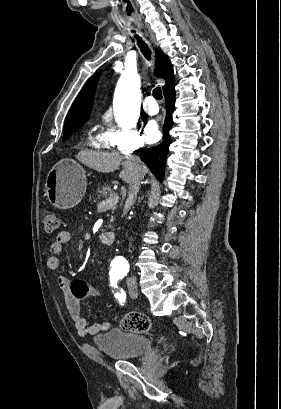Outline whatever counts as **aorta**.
<instances>
[{
	"instance_id": "1",
	"label": "aorta",
	"mask_w": 281,
	"mask_h": 409,
	"mask_svg": "<svg viewBox=\"0 0 281 409\" xmlns=\"http://www.w3.org/2000/svg\"><path fill=\"white\" fill-rule=\"evenodd\" d=\"M139 79L135 72H126L118 85L114 98V114L118 125L130 128L138 114Z\"/></svg>"
}]
</instances>
